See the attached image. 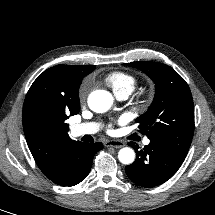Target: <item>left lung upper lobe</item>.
<instances>
[{"label": "left lung upper lobe", "instance_id": "5c2ea615", "mask_svg": "<svg viewBox=\"0 0 215 215\" xmlns=\"http://www.w3.org/2000/svg\"><path fill=\"white\" fill-rule=\"evenodd\" d=\"M126 65L142 70L155 83L152 104L136 119L140 132L187 155L194 134V105L186 81L165 64L141 61Z\"/></svg>", "mask_w": 215, "mask_h": 215}]
</instances>
